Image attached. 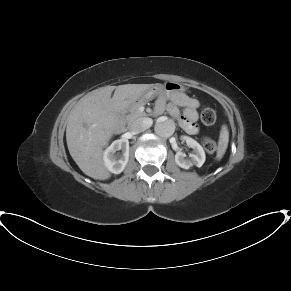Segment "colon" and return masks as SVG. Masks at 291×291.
<instances>
[{"label":"colon","instance_id":"1","mask_svg":"<svg viewBox=\"0 0 291 291\" xmlns=\"http://www.w3.org/2000/svg\"><path fill=\"white\" fill-rule=\"evenodd\" d=\"M200 118H201V121L203 124H205L207 126H211V125L215 124L216 119H217V115H216V112L214 109L205 108L202 110ZM203 147L208 153L215 152L216 148H217L215 142L208 137L203 138Z\"/></svg>","mask_w":291,"mask_h":291}]
</instances>
